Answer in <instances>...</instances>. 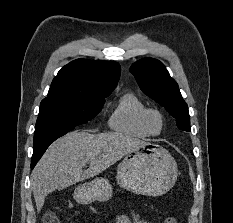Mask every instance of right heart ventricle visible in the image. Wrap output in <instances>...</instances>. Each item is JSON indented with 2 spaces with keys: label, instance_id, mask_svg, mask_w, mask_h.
<instances>
[{
  "label": "right heart ventricle",
  "instance_id": "obj_1",
  "mask_svg": "<svg viewBox=\"0 0 233 223\" xmlns=\"http://www.w3.org/2000/svg\"><path fill=\"white\" fill-rule=\"evenodd\" d=\"M145 102L134 92L127 91L120 95L107 116V126L120 134L146 139L149 135L142 125Z\"/></svg>",
  "mask_w": 233,
  "mask_h": 223
}]
</instances>
